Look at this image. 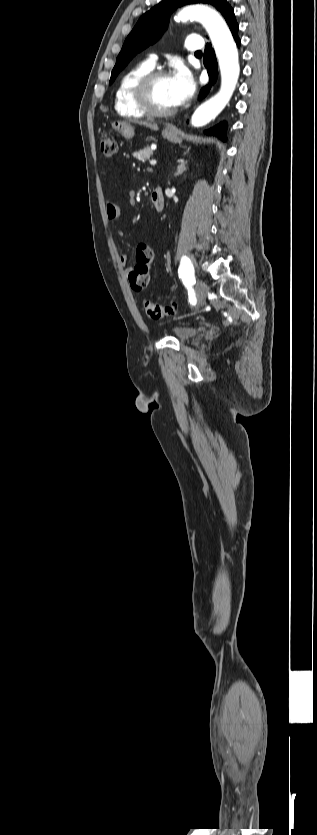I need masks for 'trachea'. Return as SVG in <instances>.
<instances>
[{
  "label": "trachea",
  "instance_id": "obj_1",
  "mask_svg": "<svg viewBox=\"0 0 317 835\" xmlns=\"http://www.w3.org/2000/svg\"><path fill=\"white\" fill-rule=\"evenodd\" d=\"M195 54H196V55H202V52H201V51H197V52H195Z\"/></svg>",
  "mask_w": 317,
  "mask_h": 835
}]
</instances>
